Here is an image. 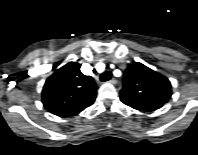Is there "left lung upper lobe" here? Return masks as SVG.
I'll use <instances>...</instances> for the list:
<instances>
[{
	"instance_id": "obj_1",
	"label": "left lung upper lobe",
	"mask_w": 198,
	"mask_h": 155,
	"mask_svg": "<svg viewBox=\"0 0 198 155\" xmlns=\"http://www.w3.org/2000/svg\"><path fill=\"white\" fill-rule=\"evenodd\" d=\"M169 80L141 63L129 66L123 78L121 101L140 111L161 108L171 98Z\"/></svg>"
}]
</instances>
